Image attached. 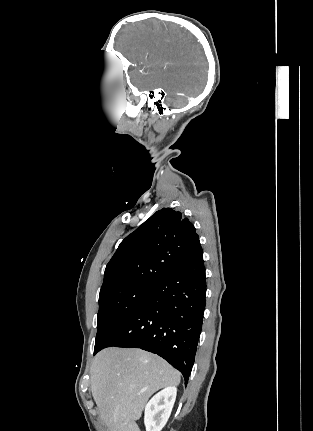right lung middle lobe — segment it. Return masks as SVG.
Wrapping results in <instances>:
<instances>
[{
  "label": "right lung middle lobe",
  "instance_id": "right-lung-middle-lobe-1",
  "mask_svg": "<svg viewBox=\"0 0 313 431\" xmlns=\"http://www.w3.org/2000/svg\"><path fill=\"white\" fill-rule=\"evenodd\" d=\"M156 286L130 288L110 292L99 297L97 352L120 325L145 301Z\"/></svg>",
  "mask_w": 313,
  "mask_h": 431
}]
</instances>
